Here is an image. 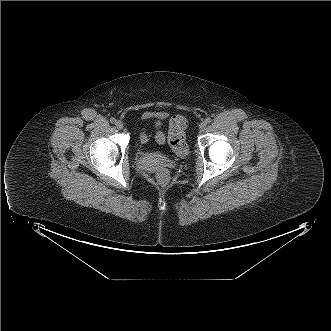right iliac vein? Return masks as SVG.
I'll use <instances>...</instances> for the list:
<instances>
[{"label": "right iliac vein", "instance_id": "1", "mask_svg": "<svg viewBox=\"0 0 331 331\" xmlns=\"http://www.w3.org/2000/svg\"><path fill=\"white\" fill-rule=\"evenodd\" d=\"M115 126H116L117 129L121 130V129H123L124 124H123V122H121V121H117V122L115 123Z\"/></svg>", "mask_w": 331, "mask_h": 331}]
</instances>
